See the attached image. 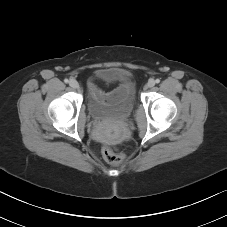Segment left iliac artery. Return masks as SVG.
<instances>
[{
  "instance_id": "left-iliac-artery-1",
  "label": "left iliac artery",
  "mask_w": 227,
  "mask_h": 227,
  "mask_svg": "<svg viewBox=\"0 0 227 227\" xmlns=\"http://www.w3.org/2000/svg\"><path fill=\"white\" fill-rule=\"evenodd\" d=\"M155 82H156V83H159V82H160V79H156Z\"/></svg>"
}]
</instances>
